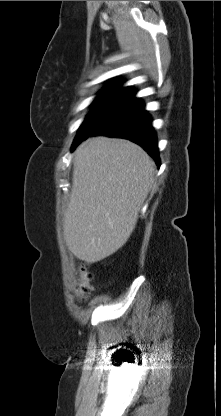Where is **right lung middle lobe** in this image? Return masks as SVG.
Segmentation results:
<instances>
[{"label": "right lung middle lobe", "mask_w": 221, "mask_h": 416, "mask_svg": "<svg viewBox=\"0 0 221 416\" xmlns=\"http://www.w3.org/2000/svg\"><path fill=\"white\" fill-rule=\"evenodd\" d=\"M127 98L123 96L100 95L94 102L93 110L80 126L75 139L88 135L102 124Z\"/></svg>", "instance_id": "dd1d6c3e"}]
</instances>
